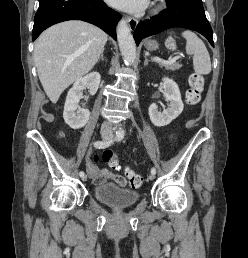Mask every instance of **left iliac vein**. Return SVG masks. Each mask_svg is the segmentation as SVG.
<instances>
[{"mask_svg": "<svg viewBox=\"0 0 248 258\" xmlns=\"http://www.w3.org/2000/svg\"><path fill=\"white\" fill-rule=\"evenodd\" d=\"M149 179H150V180H154V179H155V174H152V173H151V174L149 175Z\"/></svg>", "mask_w": 248, "mask_h": 258, "instance_id": "left-iliac-vein-1", "label": "left iliac vein"}]
</instances>
